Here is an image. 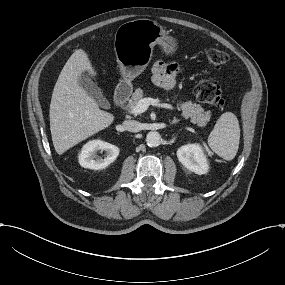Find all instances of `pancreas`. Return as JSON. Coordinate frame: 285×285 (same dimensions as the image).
Masks as SVG:
<instances>
[{"mask_svg": "<svg viewBox=\"0 0 285 285\" xmlns=\"http://www.w3.org/2000/svg\"><path fill=\"white\" fill-rule=\"evenodd\" d=\"M144 91L141 88H137L133 93V98L130 100L127 108L135 106L141 99L144 98ZM178 94H174L172 102H176L179 110L183 112L182 116L187 119L190 118L193 124H198L199 127L206 125V122L210 119V112L203 110L200 104H193L192 101L178 100Z\"/></svg>", "mask_w": 285, "mask_h": 285, "instance_id": "1", "label": "pancreas"}]
</instances>
